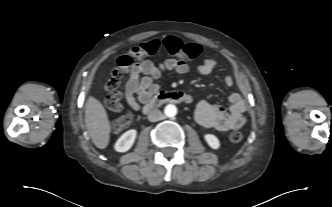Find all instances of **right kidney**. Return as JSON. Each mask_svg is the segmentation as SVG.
Returning a JSON list of instances; mask_svg holds the SVG:
<instances>
[{
  "mask_svg": "<svg viewBox=\"0 0 332 207\" xmlns=\"http://www.w3.org/2000/svg\"><path fill=\"white\" fill-rule=\"evenodd\" d=\"M137 136V131L135 129L128 130L116 141L114 148L117 152H126L134 144Z\"/></svg>",
  "mask_w": 332,
  "mask_h": 207,
  "instance_id": "obj_1",
  "label": "right kidney"
}]
</instances>
